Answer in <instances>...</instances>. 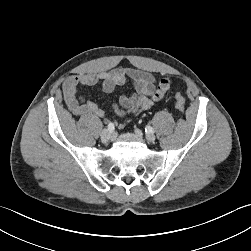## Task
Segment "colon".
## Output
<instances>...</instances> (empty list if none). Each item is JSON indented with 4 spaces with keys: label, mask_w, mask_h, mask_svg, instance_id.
<instances>
[{
    "label": "colon",
    "mask_w": 251,
    "mask_h": 251,
    "mask_svg": "<svg viewBox=\"0 0 251 251\" xmlns=\"http://www.w3.org/2000/svg\"><path fill=\"white\" fill-rule=\"evenodd\" d=\"M175 105L179 112L184 113L185 111V99L180 93L175 94Z\"/></svg>",
    "instance_id": "obj_1"
}]
</instances>
